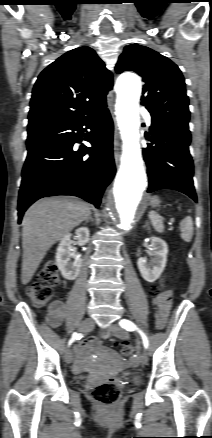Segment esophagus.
I'll return each mask as SVG.
<instances>
[{
  "instance_id": "esophagus-1",
  "label": "esophagus",
  "mask_w": 212,
  "mask_h": 438,
  "mask_svg": "<svg viewBox=\"0 0 212 438\" xmlns=\"http://www.w3.org/2000/svg\"><path fill=\"white\" fill-rule=\"evenodd\" d=\"M120 142H119V133L117 131V128H115L114 132V141H113V149H114V159L116 164H118L119 158H120Z\"/></svg>"
}]
</instances>
